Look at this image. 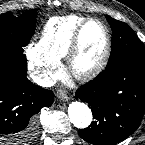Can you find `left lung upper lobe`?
<instances>
[{
    "mask_svg": "<svg viewBox=\"0 0 145 145\" xmlns=\"http://www.w3.org/2000/svg\"><path fill=\"white\" fill-rule=\"evenodd\" d=\"M112 36V52L106 68L132 63L145 67V48L135 32L124 22L106 15Z\"/></svg>",
    "mask_w": 145,
    "mask_h": 145,
    "instance_id": "left-lung-upper-lobe-1",
    "label": "left lung upper lobe"
}]
</instances>
